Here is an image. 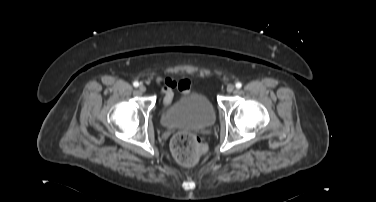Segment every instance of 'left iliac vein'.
<instances>
[{"instance_id":"left-iliac-vein-1","label":"left iliac vein","mask_w":376,"mask_h":202,"mask_svg":"<svg viewBox=\"0 0 376 202\" xmlns=\"http://www.w3.org/2000/svg\"><path fill=\"white\" fill-rule=\"evenodd\" d=\"M234 89H235V86H234V85H232V84H229V85L227 86V92H228V93H231V92H233V91H234Z\"/></svg>"}]
</instances>
